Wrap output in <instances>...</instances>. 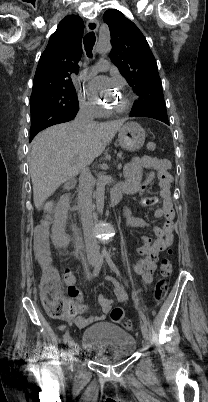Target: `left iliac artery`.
<instances>
[{
  "label": "left iliac artery",
  "mask_w": 208,
  "mask_h": 402,
  "mask_svg": "<svg viewBox=\"0 0 208 402\" xmlns=\"http://www.w3.org/2000/svg\"><path fill=\"white\" fill-rule=\"evenodd\" d=\"M106 259H107V263H108L110 269H111L113 272H115L117 276H121V275H120V271L118 270V268L116 267V265L114 264V262L111 260V258H110L109 256H107ZM126 284H127V283H126ZM140 316H141L142 320H143L146 324H148L145 315H144L143 312H141V311H140Z\"/></svg>",
  "instance_id": "left-iliac-artery-1"
}]
</instances>
